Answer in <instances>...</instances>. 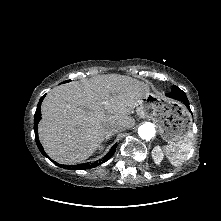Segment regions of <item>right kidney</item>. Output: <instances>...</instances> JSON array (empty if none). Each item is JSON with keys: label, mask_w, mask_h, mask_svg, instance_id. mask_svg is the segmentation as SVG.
I'll list each match as a JSON object with an SVG mask.
<instances>
[{"label": "right kidney", "mask_w": 221, "mask_h": 221, "mask_svg": "<svg viewBox=\"0 0 221 221\" xmlns=\"http://www.w3.org/2000/svg\"><path fill=\"white\" fill-rule=\"evenodd\" d=\"M103 148H104L103 146H99V150H100V151L103 150Z\"/></svg>", "instance_id": "right-kidney-1"}]
</instances>
